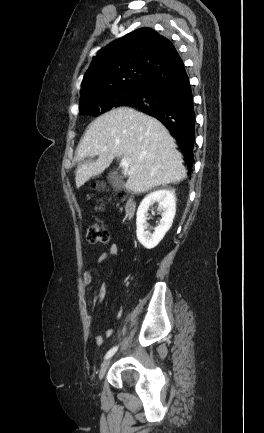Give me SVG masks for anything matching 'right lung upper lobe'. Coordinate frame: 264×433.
I'll return each instance as SVG.
<instances>
[{
	"instance_id": "cb5924a9",
	"label": "right lung upper lobe",
	"mask_w": 264,
	"mask_h": 433,
	"mask_svg": "<svg viewBox=\"0 0 264 433\" xmlns=\"http://www.w3.org/2000/svg\"><path fill=\"white\" fill-rule=\"evenodd\" d=\"M176 52L171 41L153 29H137L113 41L93 57L81 84L80 100L140 85Z\"/></svg>"
}]
</instances>
